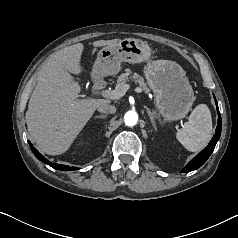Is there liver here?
Returning <instances> with one entry per match:
<instances>
[{
	"label": "liver",
	"mask_w": 238,
	"mask_h": 238,
	"mask_svg": "<svg viewBox=\"0 0 238 238\" xmlns=\"http://www.w3.org/2000/svg\"><path fill=\"white\" fill-rule=\"evenodd\" d=\"M119 41L99 40L93 46ZM83 49L82 43L65 47L53 53L39 71L25 118L30 136L46 154L66 152L97 107L110 103L107 99L79 98L80 86L69 72L81 73Z\"/></svg>",
	"instance_id": "6515ba94"
}]
</instances>
